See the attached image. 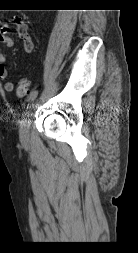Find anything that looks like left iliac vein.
I'll use <instances>...</instances> for the list:
<instances>
[{"label":"left iliac vein","mask_w":138,"mask_h":253,"mask_svg":"<svg viewBox=\"0 0 138 253\" xmlns=\"http://www.w3.org/2000/svg\"><path fill=\"white\" fill-rule=\"evenodd\" d=\"M36 107V103H33L31 106V110ZM30 113L27 114V117L23 120L19 128V138L22 143H26L30 138Z\"/></svg>","instance_id":"obj_1"}]
</instances>
